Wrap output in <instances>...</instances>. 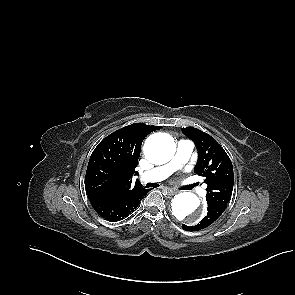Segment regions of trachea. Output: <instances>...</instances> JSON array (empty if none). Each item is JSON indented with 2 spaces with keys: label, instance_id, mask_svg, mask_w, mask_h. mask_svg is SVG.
Instances as JSON below:
<instances>
[{
  "label": "trachea",
  "instance_id": "obj_1",
  "mask_svg": "<svg viewBox=\"0 0 295 295\" xmlns=\"http://www.w3.org/2000/svg\"><path fill=\"white\" fill-rule=\"evenodd\" d=\"M146 187H147V188H150V187L155 188V187H157V184H155V183H148V184L146 185Z\"/></svg>",
  "mask_w": 295,
  "mask_h": 295
}]
</instances>
